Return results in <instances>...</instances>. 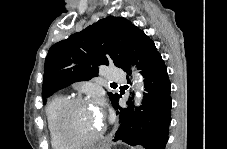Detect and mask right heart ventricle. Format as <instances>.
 <instances>
[{
	"label": "right heart ventricle",
	"mask_w": 227,
	"mask_h": 149,
	"mask_svg": "<svg viewBox=\"0 0 227 149\" xmlns=\"http://www.w3.org/2000/svg\"><path fill=\"white\" fill-rule=\"evenodd\" d=\"M65 101L66 98L63 95H56L49 101L46 107L47 126L53 149H67V146H69L60 139L56 129V114Z\"/></svg>",
	"instance_id": "1"
}]
</instances>
